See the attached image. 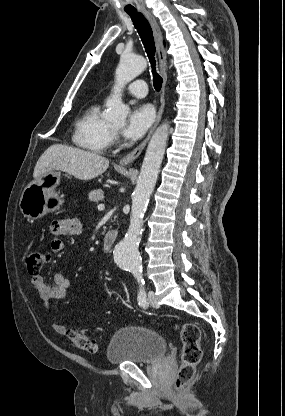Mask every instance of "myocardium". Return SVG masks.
<instances>
[{"label": "myocardium", "mask_w": 285, "mask_h": 416, "mask_svg": "<svg viewBox=\"0 0 285 416\" xmlns=\"http://www.w3.org/2000/svg\"><path fill=\"white\" fill-rule=\"evenodd\" d=\"M112 131H115V128H112Z\"/></svg>", "instance_id": "myocardium-1"}]
</instances>
